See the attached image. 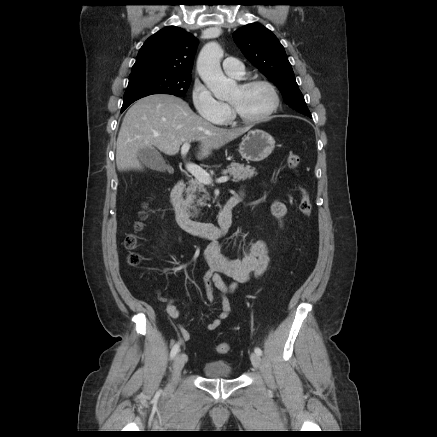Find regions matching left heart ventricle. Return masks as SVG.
I'll return each mask as SVG.
<instances>
[{"label":"left heart ventricle","mask_w":437,"mask_h":437,"mask_svg":"<svg viewBox=\"0 0 437 437\" xmlns=\"http://www.w3.org/2000/svg\"><path fill=\"white\" fill-rule=\"evenodd\" d=\"M229 102L245 117H257L265 113L272 103V95L264 86L243 89L236 87L230 95Z\"/></svg>","instance_id":"1"}]
</instances>
